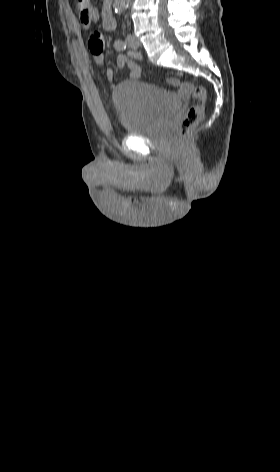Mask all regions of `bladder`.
Here are the masks:
<instances>
[{"label": "bladder", "instance_id": "obj_1", "mask_svg": "<svg viewBox=\"0 0 280 472\" xmlns=\"http://www.w3.org/2000/svg\"><path fill=\"white\" fill-rule=\"evenodd\" d=\"M114 112L128 136L155 131L179 109L180 101L169 91L141 81H124L112 95Z\"/></svg>", "mask_w": 280, "mask_h": 472}]
</instances>
